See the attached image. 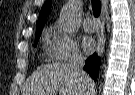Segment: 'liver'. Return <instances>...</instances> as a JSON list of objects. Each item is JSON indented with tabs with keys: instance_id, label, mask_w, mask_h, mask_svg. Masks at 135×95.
<instances>
[{
	"instance_id": "obj_1",
	"label": "liver",
	"mask_w": 135,
	"mask_h": 95,
	"mask_svg": "<svg viewBox=\"0 0 135 95\" xmlns=\"http://www.w3.org/2000/svg\"><path fill=\"white\" fill-rule=\"evenodd\" d=\"M94 88L89 78L85 85L69 64H49L34 72L24 95H91Z\"/></svg>"
}]
</instances>
